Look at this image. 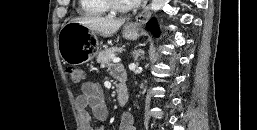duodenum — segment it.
<instances>
[{
	"instance_id": "obj_1",
	"label": "duodenum",
	"mask_w": 257,
	"mask_h": 130,
	"mask_svg": "<svg viewBox=\"0 0 257 130\" xmlns=\"http://www.w3.org/2000/svg\"><path fill=\"white\" fill-rule=\"evenodd\" d=\"M129 93L125 83L121 82L117 88V100L120 106H125L128 102Z\"/></svg>"
}]
</instances>
